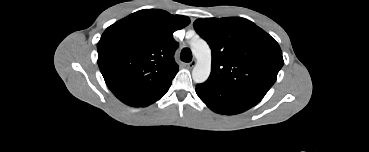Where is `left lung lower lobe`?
Wrapping results in <instances>:
<instances>
[{"instance_id":"obj_1","label":"left lung lower lobe","mask_w":369,"mask_h":152,"mask_svg":"<svg viewBox=\"0 0 369 152\" xmlns=\"http://www.w3.org/2000/svg\"><path fill=\"white\" fill-rule=\"evenodd\" d=\"M196 93L211 110L226 115L244 112L263 98L252 93L227 89L210 81L197 84Z\"/></svg>"}]
</instances>
